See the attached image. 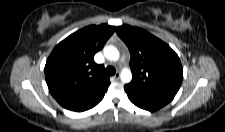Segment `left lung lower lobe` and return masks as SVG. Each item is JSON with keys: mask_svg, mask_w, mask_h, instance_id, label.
<instances>
[{"mask_svg": "<svg viewBox=\"0 0 225 132\" xmlns=\"http://www.w3.org/2000/svg\"><path fill=\"white\" fill-rule=\"evenodd\" d=\"M124 89L133 104L148 111L158 110L172 100L166 96L139 94L129 90L126 86Z\"/></svg>", "mask_w": 225, "mask_h": 132, "instance_id": "left-lung-lower-lobe-1", "label": "left lung lower lobe"}]
</instances>
